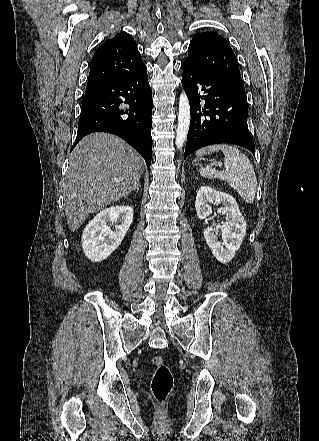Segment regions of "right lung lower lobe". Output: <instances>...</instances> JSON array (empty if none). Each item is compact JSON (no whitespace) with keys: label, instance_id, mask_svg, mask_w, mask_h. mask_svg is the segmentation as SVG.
<instances>
[{"label":"right lung lower lobe","instance_id":"obj_1","mask_svg":"<svg viewBox=\"0 0 319 441\" xmlns=\"http://www.w3.org/2000/svg\"><path fill=\"white\" fill-rule=\"evenodd\" d=\"M121 103L129 107L122 109ZM151 112L152 92L144 65L85 93L72 149L90 133L109 132L135 148L150 168L153 143Z\"/></svg>","mask_w":319,"mask_h":441}]
</instances>
